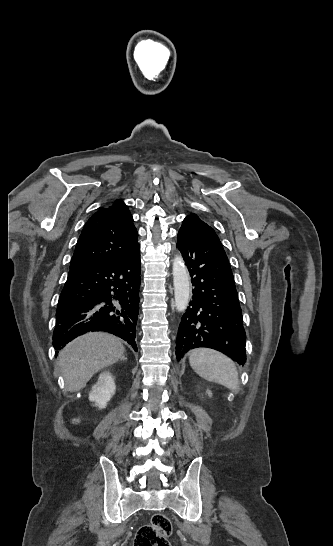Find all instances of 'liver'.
<instances>
[{
	"label": "liver",
	"mask_w": 333,
	"mask_h": 546,
	"mask_svg": "<svg viewBox=\"0 0 333 546\" xmlns=\"http://www.w3.org/2000/svg\"><path fill=\"white\" fill-rule=\"evenodd\" d=\"M124 346L106 333H88L71 341L59 354L65 389L77 392L99 370L124 358Z\"/></svg>",
	"instance_id": "6515ba94"
}]
</instances>
